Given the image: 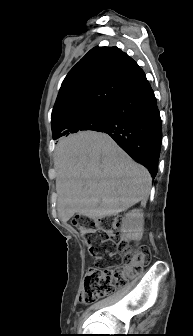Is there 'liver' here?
<instances>
[{
  "label": "liver",
  "mask_w": 193,
  "mask_h": 336,
  "mask_svg": "<svg viewBox=\"0 0 193 336\" xmlns=\"http://www.w3.org/2000/svg\"><path fill=\"white\" fill-rule=\"evenodd\" d=\"M58 217L90 219L116 215L145 204L152 179L105 133L84 131L65 138L54 156Z\"/></svg>",
  "instance_id": "6515ba94"
}]
</instances>
